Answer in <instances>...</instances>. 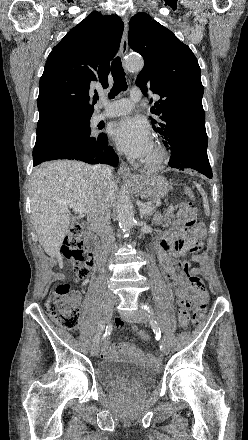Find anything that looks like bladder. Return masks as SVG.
I'll return each mask as SVG.
<instances>
[{"label":"bladder","instance_id":"31cf9c89","mask_svg":"<svg viewBox=\"0 0 248 440\" xmlns=\"http://www.w3.org/2000/svg\"><path fill=\"white\" fill-rule=\"evenodd\" d=\"M95 375L100 384L116 390H143L156 379V372L151 367L119 359L99 362Z\"/></svg>","mask_w":248,"mask_h":440}]
</instances>
